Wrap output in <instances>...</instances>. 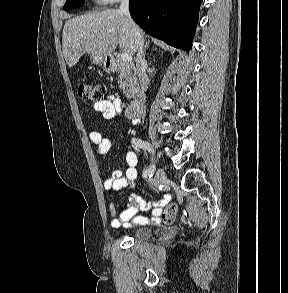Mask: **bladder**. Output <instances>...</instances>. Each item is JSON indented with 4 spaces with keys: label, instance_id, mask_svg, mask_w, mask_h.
<instances>
[{
    "label": "bladder",
    "instance_id": "bladder-1",
    "mask_svg": "<svg viewBox=\"0 0 288 293\" xmlns=\"http://www.w3.org/2000/svg\"><path fill=\"white\" fill-rule=\"evenodd\" d=\"M151 236L152 230L147 227H137L131 233V237L135 240H147Z\"/></svg>",
    "mask_w": 288,
    "mask_h": 293
}]
</instances>
